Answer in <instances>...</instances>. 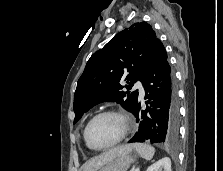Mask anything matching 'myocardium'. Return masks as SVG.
Returning a JSON list of instances; mask_svg holds the SVG:
<instances>
[{"mask_svg":"<svg viewBox=\"0 0 223 171\" xmlns=\"http://www.w3.org/2000/svg\"><path fill=\"white\" fill-rule=\"evenodd\" d=\"M104 115H114V116L120 118V120L123 123V132L120 135V137L117 140H115L113 143L103 146V147H97L94 144H92V142L89 139V128H90L91 124L97 118L104 116ZM130 130H131V120L125 112L116 110V109H107V110H103V111L97 113L87 122L85 129H84V139H85V142L89 148L96 150V151H102V150L109 149V148L114 147L115 145L119 144L121 141H123L127 137Z\"/></svg>","mask_w":223,"mask_h":171,"instance_id":"obj_1","label":"myocardium"}]
</instances>
